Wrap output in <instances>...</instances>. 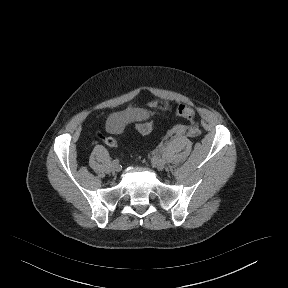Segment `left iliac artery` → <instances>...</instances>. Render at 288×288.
I'll list each match as a JSON object with an SVG mask.
<instances>
[{"mask_svg":"<svg viewBox=\"0 0 288 288\" xmlns=\"http://www.w3.org/2000/svg\"><path fill=\"white\" fill-rule=\"evenodd\" d=\"M156 156H159V157H160V156H161V153L158 152V153L156 154Z\"/></svg>","mask_w":288,"mask_h":288,"instance_id":"left-iliac-artery-1","label":"left iliac artery"}]
</instances>
